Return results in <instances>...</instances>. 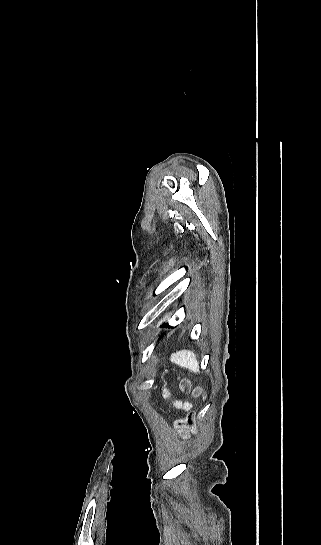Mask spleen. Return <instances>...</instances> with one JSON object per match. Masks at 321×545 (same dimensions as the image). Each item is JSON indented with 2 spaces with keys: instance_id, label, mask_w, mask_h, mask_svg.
<instances>
[{
  "instance_id": "1",
  "label": "spleen",
  "mask_w": 321,
  "mask_h": 545,
  "mask_svg": "<svg viewBox=\"0 0 321 545\" xmlns=\"http://www.w3.org/2000/svg\"><path fill=\"white\" fill-rule=\"evenodd\" d=\"M171 361L172 363L179 365V367L189 369L191 373H199V363L195 353H192V351H178V353H172Z\"/></svg>"
}]
</instances>
